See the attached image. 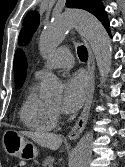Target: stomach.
I'll return each mask as SVG.
<instances>
[{
	"mask_svg": "<svg viewBox=\"0 0 125 167\" xmlns=\"http://www.w3.org/2000/svg\"><path fill=\"white\" fill-rule=\"evenodd\" d=\"M8 132L6 133L8 138L4 142V149L9 155L20 160H33L38 156L37 148L26 136L14 131Z\"/></svg>",
	"mask_w": 125,
	"mask_h": 167,
	"instance_id": "1",
	"label": "stomach"
}]
</instances>
